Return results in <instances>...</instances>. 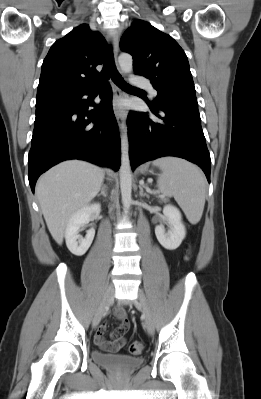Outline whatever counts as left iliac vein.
<instances>
[{"label":"left iliac vein","instance_id":"left-iliac-vein-1","mask_svg":"<svg viewBox=\"0 0 261 399\" xmlns=\"http://www.w3.org/2000/svg\"><path fill=\"white\" fill-rule=\"evenodd\" d=\"M134 304L136 305V307H140L142 309L145 321V328L150 335H153L155 329L154 320L149 303L143 292H138V297L134 301Z\"/></svg>","mask_w":261,"mask_h":399}]
</instances>
